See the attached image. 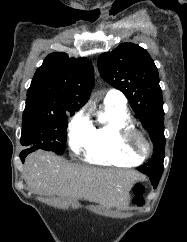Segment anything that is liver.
Masks as SVG:
<instances>
[{"mask_svg":"<svg viewBox=\"0 0 187 242\" xmlns=\"http://www.w3.org/2000/svg\"><path fill=\"white\" fill-rule=\"evenodd\" d=\"M23 177L36 193L85 199L107 208L125 209L130 203L129 192L139 174L69 163L53 153L37 151L26 158Z\"/></svg>","mask_w":187,"mask_h":242,"instance_id":"6515ba94","label":"liver"}]
</instances>
